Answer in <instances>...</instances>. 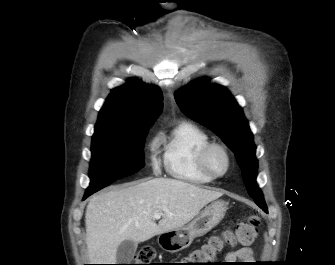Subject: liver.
Here are the masks:
<instances>
[{"label": "liver", "mask_w": 335, "mask_h": 265, "mask_svg": "<svg viewBox=\"0 0 335 265\" xmlns=\"http://www.w3.org/2000/svg\"><path fill=\"white\" fill-rule=\"evenodd\" d=\"M222 195L165 178L137 181L95 195L85 213L88 259L91 264H115L123 241L137 244L184 227L206 204ZM155 213L162 214L158 224Z\"/></svg>", "instance_id": "liver-1"}]
</instances>
